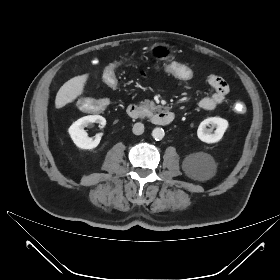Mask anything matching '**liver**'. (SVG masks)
Returning <instances> with one entry per match:
<instances>
[{"instance_id":"liver-1","label":"liver","mask_w":280,"mask_h":280,"mask_svg":"<svg viewBox=\"0 0 280 280\" xmlns=\"http://www.w3.org/2000/svg\"><path fill=\"white\" fill-rule=\"evenodd\" d=\"M88 76L89 74L76 76L64 83L56 95L55 107L60 109L82 95Z\"/></svg>"}]
</instances>
